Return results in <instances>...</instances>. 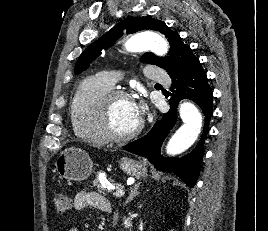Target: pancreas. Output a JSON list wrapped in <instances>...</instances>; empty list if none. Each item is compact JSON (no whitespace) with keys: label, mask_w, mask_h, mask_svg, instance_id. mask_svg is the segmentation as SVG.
<instances>
[{"label":"pancreas","mask_w":268,"mask_h":231,"mask_svg":"<svg viewBox=\"0 0 268 231\" xmlns=\"http://www.w3.org/2000/svg\"><path fill=\"white\" fill-rule=\"evenodd\" d=\"M102 181L104 182L105 186H103L101 184V180L97 175L96 178L93 180V186H95L97 188V190L103 194L110 192L107 190V187L110 185V182H111V184L115 185L114 180L107 179L106 176L104 175L102 177Z\"/></svg>","instance_id":"pancreas-1"}]
</instances>
